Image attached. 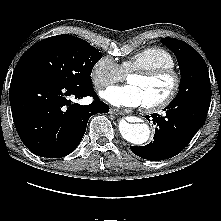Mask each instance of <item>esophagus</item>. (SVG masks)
Masks as SVG:
<instances>
[{
	"label": "esophagus",
	"instance_id": "1",
	"mask_svg": "<svg viewBox=\"0 0 221 221\" xmlns=\"http://www.w3.org/2000/svg\"><path fill=\"white\" fill-rule=\"evenodd\" d=\"M110 114H114V115H122L124 114V110H120V109H117V108H111L110 111H109Z\"/></svg>",
	"mask_w": 221,
	"mask_h": 221
}]
</instances>
